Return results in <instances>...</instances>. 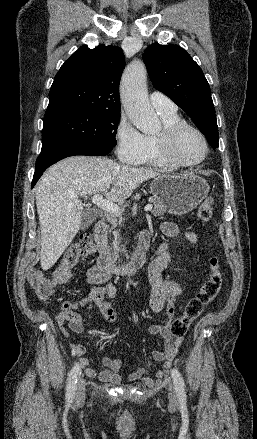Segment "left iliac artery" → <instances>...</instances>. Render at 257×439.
I'll use <instances>...</instances> for the list:
<instances>
[{
	"mask_svg": "<svg viewBox=\"0 0 257 439\" xmlns=\"http://www.w3.org/2000/svg\"><path fill=\"white\" fill-rule=\"evenodd\" d=\"M171 376L173 378V382L178 398L181 401H185L186 400L185 384L181 373L176 368H174L171 370Z\"/></svg>",
	"mask_w": 257,
	"mask_h": 439,
	"instance_id": "obj_1",
	"label": "left iliac artery"
}]
</instances>
